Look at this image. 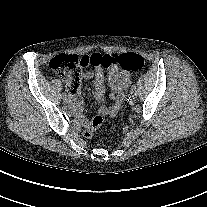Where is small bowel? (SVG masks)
Masks as SVG:
<instances>
[{"instance_id": "obj_1", "label": "small bowel", "mask_w": 207, "mask_h": 207, "mask_svg": "<svg viewBox=\"0 0 207 207\" xmlns=\"http://www.w3.org/2000/svg\"><path fill=\"white\" fill-rule=\"evenodd\" d=\"M107 80L111 89L110 98L112 103L110 106H101L98 110V115L101 117L115 116L120 110L125 99L126 89L132 82L131 75L116 67H111L107 70ZM83 77L88 80H93L95 88V98L98 101H103L105 97L104 70L97 67L94 70H87L83 73ZM70 105L76 117L84 127L91 123V119L82 113L83 102L79 92V88L69 94Z\"/></svg>"}]
</instances>
